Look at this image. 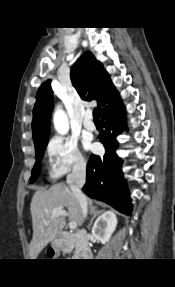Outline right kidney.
Here are the masks:
<instances>
[{
	"label": "right kidney",
	"instance_id": "right-kidney-1",
	"mask_svg": "<svg viewBox=\"0 0 175 287\" xmlns=\"http://www.w3.org/2000/svg\"><path fill=\"white\" fill-rule=\"evenodd\" d=\"M117 226V217L112 211H106L97 218L92 228V235L102 242H108Z\"/></svg>",
	"mask_w": 175,
	"mask_h": 287
}]
</instances>
